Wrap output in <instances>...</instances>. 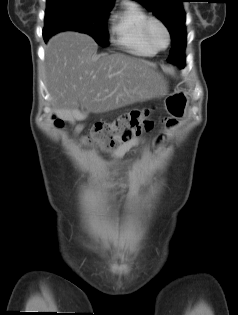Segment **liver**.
I'll list each match as a JSON object with an SVG mask.
<instances>
[{
    "instance_id": "liver-1",
    "label": "liver",
    "mask_w": 238,
    "mask_h": 315,
    "mask_svg": "<svg viewBox=\"0 0 238 315\" xmlns=\"http://www.w3.org/2000/svg\"><path fill=\"white\" fill-rule=\"evenodd\" d=\"M46 85L58 117L81 120L88 113H104L165 91L163 77L149 62L121 53L97 54L86 34L63 32L46 48Z\"/></svg>"
}]
</instances>
